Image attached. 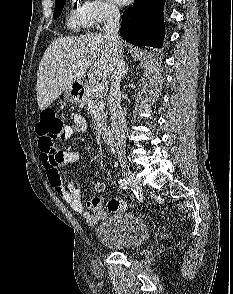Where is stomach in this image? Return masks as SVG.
I'll use <instances>...</instances> for the list:
<instances>
[{
  "label": "stomach",
  "mask_w": 233,
  "mask_h": 294,
  "mask_svg": "<svg viewBox=\"0 0 233 294\" xmlns=\"http://www.w3.org/2000/svg\"><path fill=\"white\" fill-rule=\"evenodd\" d=\"M65 99L72 104H80L82 103L83 93L81 87L75 86L72 84L69 88H67L64 92Z\"/></svg>",
  "instance_id": "1"
}]
</instances>
